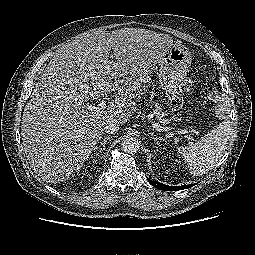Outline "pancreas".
Returning <instances> with one entry per match:
<instances>
[{
    "label": "pancreas",
    "instance_id": "1",
    "mask_svg": "<svg viewBox=\"0 0 255 255\" xmlns=\"http://www.w3.org/2000/svg\"><path fill=\"white\" fill-rule=\"evenodd\" d=\"M154 106L153 115L155 119L163 125L169 124L171 120L166 118V114L164 113L162 107L158 103H155Z\"/></svg>",
    "mask_w": 255,
    "mask_h": 255
}]
</instances>
